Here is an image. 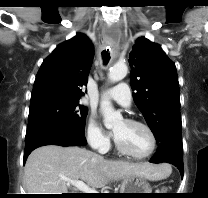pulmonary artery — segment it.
I'll list each match as a JSON object with an SVG mask.
<instances>
[{"instance_id": "obj_1", "label": "pulmonary artery", "mask_w": 208, "mask_h": 198, "mask_svg": "<svg viewBox=\"0 0 208 198\" xmlns=\"http://www.w3.org/2000/svg\"><path fill=\"white\" fill-rule=\"evenodd\" d=\"M103 96L124 107H129L131 105L132 96L126 83H120L117 86L107 90Z\"/></svg>"}]
</instances>
